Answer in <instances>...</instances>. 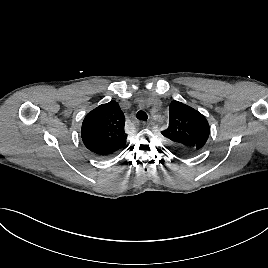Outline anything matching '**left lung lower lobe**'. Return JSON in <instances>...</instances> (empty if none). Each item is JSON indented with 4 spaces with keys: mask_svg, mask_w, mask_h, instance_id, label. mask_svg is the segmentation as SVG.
<instances>
[{
    "mask_svg": "<svg viewBox=\"0 0 268 268\" xmlns=\"http://www.w3.org/2000/svg\"><path fill=\"white\" fill-rule=\"evenodd\" d=\"M176 149L180 154H182L184 156H192V155H195L198 153V152H195V151H192L189 149H185V148H180V147H177Z\"/></svg>",
    "mask_w": 268,
    "mask_h": 268,
    "instance_id": "obj_1",
    "label": "left lung lower lobe"
}]
</instances>
